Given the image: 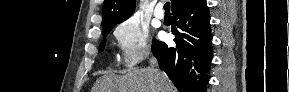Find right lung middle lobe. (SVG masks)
I'll return each instance as SVG.
<instances>
[{
	"instance_id": "right-lung-middle-lobe-1",
	"label": "right lung middle lobe",
	"mask_w": 289,
	"mask_h": 92,
	"mask_svg": "<svg viewBox=\"0 0 289 92\" xmlns=\"http://www.w3.org/2000/svg\"><path fill=\"white\" fill-rule=\"evenodd\" d=\"M116 24H112V25H109L105 28L102 29V32H103V37H104V41L101 43L100 45V52L104 50V47H105V44H106V37L108 35V33L112 30V28L115 26Z\"/></svg>"
}]
</instances>
